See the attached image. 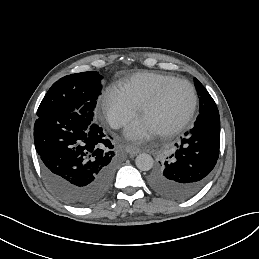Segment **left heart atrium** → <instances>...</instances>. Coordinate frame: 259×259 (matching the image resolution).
<instances>
[{
	"label": "left heart atrium",
	"instance_id": "left-heart-atrium-1",
	"mask_svg": "<svg viewBox=\"0 0 259 259\" xmlns=\"http://www.w3.org/2000/svg\"><path fill=\"white\" fill-rule=\"evenodd\" d=\"M126 135L135 140H142L146 137V132L142 123L137 120L127 127Z\"/></svg>",
	"mask_w": 259,
	"mask_h": 259
}]
</instances>
